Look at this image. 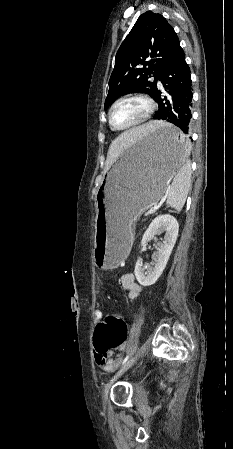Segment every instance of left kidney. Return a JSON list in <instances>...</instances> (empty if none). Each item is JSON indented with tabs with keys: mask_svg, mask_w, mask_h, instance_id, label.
Here are the masks:
<instances>
[{
	"mask_svg": "<svg viewBox=\"0 0 233 449\" xmlns=\"http://www.w3.org/2000/svg\"><path fill=\"white\" fill-rule=\"evenodd\" d=\"M178 231V221L169 214L159 215L151 222L141 240L142 251L145 250L147 243L155 235H160L163 232H165V235L163 242L157 244L158 248L156 247L157 252L154 255L155 265L153 268L148 269L144 273L141 261L138 260L136 262L134 273L139 284L142 286L153 285L161 276L177 240Z\"/></svg>",
	"mask_w": 233,
	"mask_h": 449,
	"instance_id": "left-kidney-1",
	"label": "left kidney"
}]
</instances>
